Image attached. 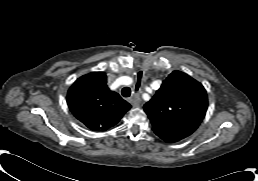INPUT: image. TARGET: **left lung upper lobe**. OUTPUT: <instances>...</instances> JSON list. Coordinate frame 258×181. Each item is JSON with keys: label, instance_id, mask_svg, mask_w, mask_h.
I'll list each match as a JSON object with an SVG mask.
<instances>
[{"label": "left lung upper lobe", "instance_id": "5c2ea615", "mask_svg": "<svg viewBox=\"0 0 258 181\" xmlns=\"http://www.w3.org/2000/svg\"><path fill=\"white\" fill-rule=\"evenodd\" d=\"M207 110V94L189 75L173 71L144 105L157 135L181 140L192 134Z\"/></svg>", "mask_w": 258, "mask_h": 181}]
</instances>
